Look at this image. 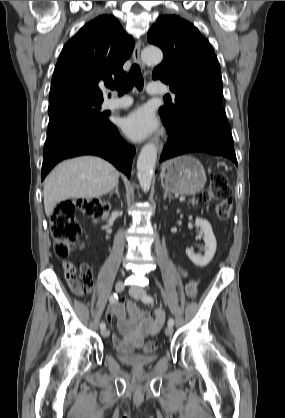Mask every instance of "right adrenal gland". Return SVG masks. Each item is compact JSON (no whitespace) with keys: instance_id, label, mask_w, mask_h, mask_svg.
Returning a JSON list of instances; mask_svg holds the SVG:
<instances>
[{"instance_id":"obj_1","label":"right adrenal gland","mask_w":285,"mask_h":418,"mask_svg":"<svg viewBox=\"0 0 285 418\" xmlns=\"http://www.w3.org/2000/svg\"><path fill=\"white\" fill-rule=\"evenodd\" d=\"M114 193H116L119 197L118 184L115 186V189L110 192V196H112Z\"/></svg>"}]
</instances>
